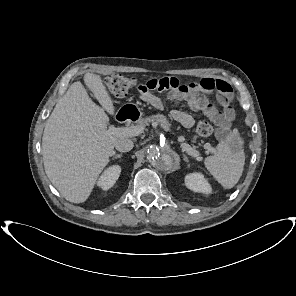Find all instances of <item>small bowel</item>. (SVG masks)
<instances>
[{
    "label": "small bowel",
    "instance_id": "obj_1",
    "mask_svg": "<svg viewBox=\"0 0 296 296\" xmlns=\"http://www.w3.org/2000/svg\"><path fill=\"white\" fill-rule=\"evenodd\" d=\"M153 91H166L169 100L175 104L185 102L194 111H203L206 113L209 107L207 95L211 92L217 93V101L222 107V111L217 118H212L218 126V135L224 136L234 117V111L231 107L232 88L229 83L221 79L203 78L198 82L182 84L174 77H165L161 79L152 78L138 86V92L141 98L155 108L162 107L161 100ZM172 118L185 128L193 127L194 118L184 111L173 110Z\"/></svg>",
    "mask_w": 296,
    "mask_h": 296
}]
</instances>
